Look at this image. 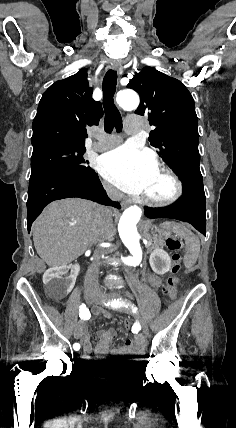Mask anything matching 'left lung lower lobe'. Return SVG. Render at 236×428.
I'll return each mask as SVG.
<instances>
[{
  "instance_id": "0a47b994",
  "label": "left lung lower lobe",
  "mask_w": 236,
  "mask_h": 428,
  "mask_svg": "<svg viewBox=\"0 0 236 428\" xmlns=\"http://www.w3.org/2000/svg\"><path fill=\"white\" fill-rule=\"evenodd\" d=\"M183 194L175 205L164 208L145 207V216L171 218L192 224L203 235L206 234V207L203 180L200 178L183 179Z\"/></svg>"
}]
</instances>
